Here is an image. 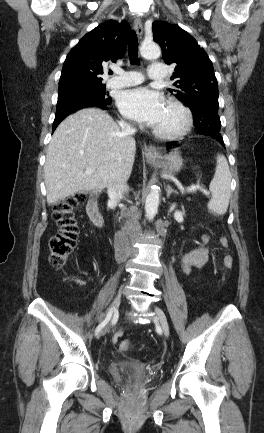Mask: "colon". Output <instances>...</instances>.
Wrapping results in <instances>:
<instances>
[{"mask_svg": "<svg viewBox=\"0 0 264 433\" xmlns=\"http://www.w3.org/2000/svg\"><path fill=\"white\" fill-rule=\"evenodd\" d=\"M84 201L85 195L76 193L57 202L54 206L53 216L58 223L59 229L49 242V260L55 268H61L66 263L76 246L79 235V224L74 210L76 206ZM220 244L225 251L222 258L223 266L225 271L229 272L233 266V257L228 252V239L222 236ZM131 349L132 344L129 340H123L120 343L121 352L128 354Z\"/></svg>", "mask_w": 264, "mask_h": 433, "instance_id": "obj_1", "label": "colon"}]
</instances>
